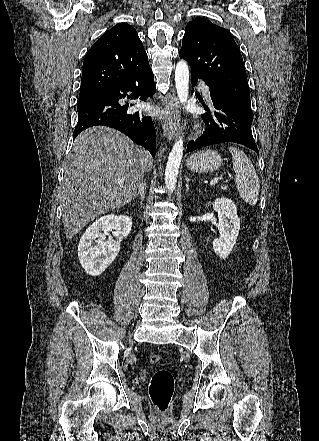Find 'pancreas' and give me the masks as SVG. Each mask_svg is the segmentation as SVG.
<instances>
[{"instance_id":"1","label":"pancreas","mask_w":319,"mask_h":441,"mask_svg":"<svg viewBox=\"0 0 319 441\" xmlns=\"http://www.w3.org/2000/svg\"><path fill=\"white\" fill-rule=\"evenodd\" d=\"M221 189H223V190H227V186H226V185H222V186H221Z\"/></svg>"}]
</instances>
